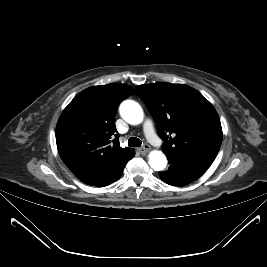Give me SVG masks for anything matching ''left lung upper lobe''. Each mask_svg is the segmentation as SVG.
Here are the masks:
<instances>
[{
    "label": "left lung upper lobe",
    "mask_w": 267,
    "mask_h": 267,
    "mask_svg": "<svg viewBox=\"0 0 267 267\" xmlns=\"http://www.w3.org/2000/svg\"><path fill=\"white\" fill-rule=\"evenodd\" d=\"M136 91L156 122L163 152L207 169L222 142L221 123L212 104L184 84L139 85Z\"/></svg>",
    "instance_id": "obj_1"
}]
</instances>
